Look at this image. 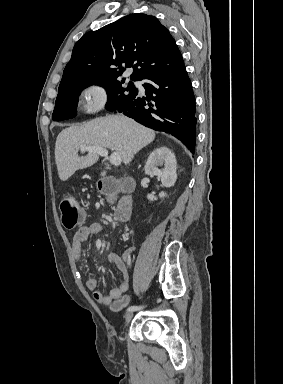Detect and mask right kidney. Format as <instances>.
<instances>
[{
	"label": "right kidney",
	"instance_id": "ca27d5eb",
	"mask_svg": "<svg viewBox=\"0 0 283 384\" xmlns=\"http://www.w3.org/2000/svg\"><path fill=\"white\" fill-rule=\"evenodd\" d=\"M157 166H164V168L163 170H159ZM176 166L177 162L173 152H171L169 148H166V146H162V148L153 150L146 162L144 170L147 176H158L165 188H171L177 180ZM165 196V192H160L159 198H165ZM147 198L150 202L157 200L153 194H148Z\"/></svg>",
	"mask_w": 283,
	"mask_h": 384
}]
</instances>
